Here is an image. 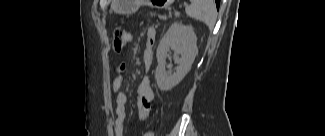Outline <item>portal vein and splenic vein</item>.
Masks as SVG:
<instances>
[{
    "instance_id": "obj_1",
    "label": "portal vein and splenic vein",
    "mask_w": 325,
    "mask_h": 136,
    "mask_svg": "<svg viewBox=\"0 0 325 136\" xmlns=\"http://www.w3.org/2000/svg\"><path fill=\"white\" fill-rule=\"evenodd\" d=\"M175 15H176V16H179V15H180V13H179L178 11H176V12H175Z\"/></svg>"
}]
</instances>
